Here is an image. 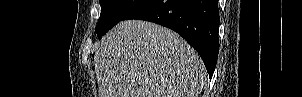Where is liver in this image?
I'll list each match as a JSON object with an SVG mask.
<instances>
[{
	"label": "liver",
	"mask_w": 302,
	"mask_h": 97,
	"mask_svg": "<svg viewBox=\"0 0 302 97\" xmlns=\"http://www.w3.org/2000/svg\"><path fill=\"white\" fill-rule=\"evenodd\" d=\"M99 97H199L207 80L202 59L174 31L121 21L94 56Z\"/></svg>",
	"instance_id": "1"
}]
</instances>
